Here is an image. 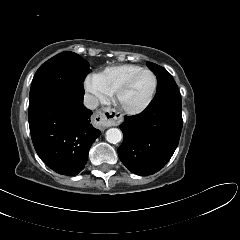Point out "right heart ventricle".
Returning a JSON list of instances; mask_svg holds the SVG:
<instances>
[{
	"label": "right heart ventricle",
	"instance_id": "obj_1",
	"mask_svg": "<svg viewBox=\"0 0 240 240\" xmlns=\"http://www.w3.org/2000/svg\"><path fill=\"white\" fill-rule=\"evenodd\" d=\"M139 65L123 64L105 68L96 76L102 87L111 95L133 74L142 70Z\"/></svg>",
	"mask_w": 240,
	"mask_h": 240
}]
</instances>
